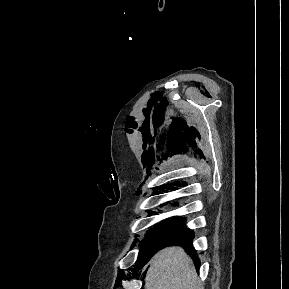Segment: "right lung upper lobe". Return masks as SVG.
Returning a JSON list of instances; mask_svg holds the SVG:
<instances>
[{"label": "right lung upper lobe", "instance_id": "1", "mask_svg": "<svg viewBox=\"0 0 289 289\" xmlns=\"http://www.w3.org/2000/svg\"><path fill=\"white\" fill-rule=\"evenodd\" d=\"M173 185H176V186H179L178 184H171V185H164L162 186V188H159L161 191H164V192H168L170 190H174L175 188L173 187Z\"/></svg>", "mask_w": 289, "mask_h": 289}]
</instances>
